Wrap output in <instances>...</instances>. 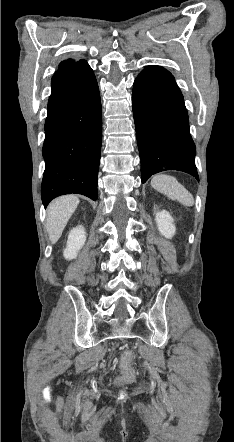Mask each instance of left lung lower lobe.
<instances>
[{
  "label": "left lung lower lobe",
  "instance_id": "0a47b994",
  "mask_svg": "<svg viewBox=\"0 0 234 442\" xmlns=\"http://www.w3.org/2000/svg\"><path fill=\"white\" fill-rule=\"evenodd\" d=\"M132 107L142 182L165 170L183 171L199 180L187 110L172 74L147 66L135 79Z\"/></svg>",
  "mask_w": 234,
  "mask_h": 442
}]
</instances>
